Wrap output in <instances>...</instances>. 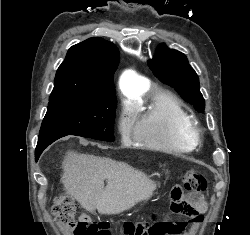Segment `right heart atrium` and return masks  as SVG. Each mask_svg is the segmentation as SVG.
<instances>
[{"label": "right heart atrium", "mask_w": 250, "mask_h": 235, "mask_svg": "<svg viewBox=\"0 0 250 235\" xmlns=\"http://www.w3.org/2000/svg\"><path fill=\"white\" fill-rule=\"evenodd\" d=\"M117 131L124 143L132 142L136 137V119L131 109L123 107L117 117Z\"/></svg>", "instance_id": "obj_1"}]
</instances>
